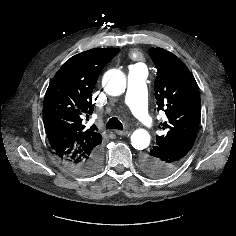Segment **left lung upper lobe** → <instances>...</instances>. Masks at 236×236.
Wrapping results in <instances>:
<instances>
[{
  "instance_id": "left-lung-upper-lobe-1",
  "label": "left lung upper lobe",
  "mask_w": 236,
  "mask_h": 236,
  "mask_svg": "<svg viewBox=\"0 0 236 236\" xmlns=\"http://www.w3.org/2000/svg\"><path fill=\"white\" fill-rule=\"evenodd\" d=\"M149 52L158 70L154 84L158 111H164L167 117L159 127L164 134L157 135L155 145L192 147L201 114L198 85L187 66L173 53L159 47Z\"/></svg>"
}]
</instances>
